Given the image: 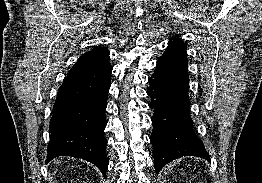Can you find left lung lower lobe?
Returning a JSON list of instances; mask_svg holds the SVG:
<instances>
[{
  "mask_svg": "<svg viewBox=\"0 0 262 183\" xmlns=\"http://www.w3.org/2000/svg\"><path fill=\"white\" fill-rule=\"evenodd\" d=\"M186 51L167 47L158 59L156 70L148 79L147 94L154 110L151 143L156 172L167 163L183 156L210 160L200 138L193 130L190 115L189 75Z\"/></svg>",
  "mask_w": 262,
  "mask_h": 183,
  "instance_id": "obj_1",
  "label": "left lung lower lobe"
}]
</instances>
